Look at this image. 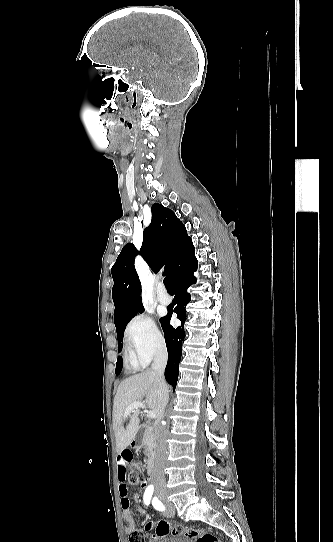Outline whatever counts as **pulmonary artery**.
Returning <instances> with one entry per match:
<instances>
[{
	"label": "pulmonary artery",
	"mask_w": 333,
	"mask_h": 542,
	"mask_svg": "<svg viewBox=\"0 0 333 542\" xmlns=\"http://www.w3.org/2000/svg\"><path fill=\"white\" fill-rule=\"evenodd\" d=\"M158 292L160 293L161 304L169 305L171 301H170V295H169V291L167 290V287L165 285H160L158 287Z\"/></svg>",
	"instance_id": "1"
}]
</instances>
